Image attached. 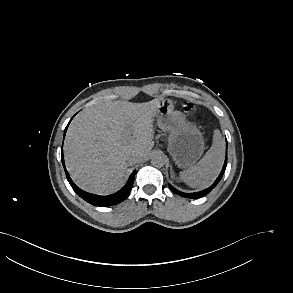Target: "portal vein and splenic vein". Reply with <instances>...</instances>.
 <instances>
[{
  "label": "portal vein and splenic vein",
  "mask_w": 293,
  "mask_h": 293,
  "mask_svg": "<svg viewBox=\"0 0 293 293\" xmlns=\"http://www.w3.org/2000/svg\"><path fill=\"white\" fill-rule=\"evenodd\" d=\"M129 136L132 137V132H129Z\"/></svg>",
  "instance_id": "portal-vein-and-splenic-vein-1"
}]
</instances>
